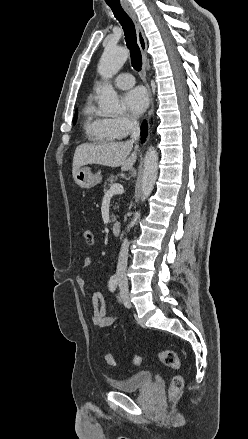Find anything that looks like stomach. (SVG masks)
<instances>
[{
  "instance_id": "1",
  "label": "stomach",
  "mask_w": 248,
  "mask_h": 439,
  "mask_svg": "<svg viewBox=\"0 0 248 439\" xmlns=\"http://www.w3.org/2000/svg\"><path fill=\"white\" fill-rule=\"evenodd\" d=\"M101 180V173L93 174L88 167L80 168L74 176L75 183L81 188H91L100 183Z\"/></svg>"
}]
</instances>
